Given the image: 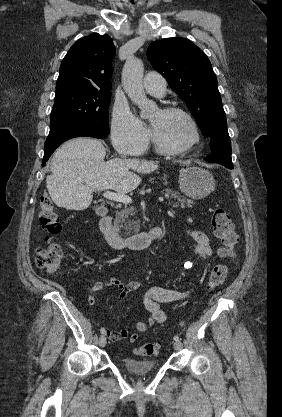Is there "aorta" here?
<instances>
[{
	"mask_svg": "<svg viewBox=\"0 0 282 417\" xmlns=\"http://www.w3.org/2000/svg\"><path fill=\"white\" fill-rule=\"evenodd\" d=\"M143 72V60L129 56L123 66L122 80L125 92L133 100L134 104H137L138 108H140L141 118H147L150 112L157 108V104L153 100H149L145 94L142 84Z\"/></svg>",
	"mask_w": 282,
	"mask_h": 417,
	"instance_id": "1",
	"label": "aorta"
}]
</instances>
